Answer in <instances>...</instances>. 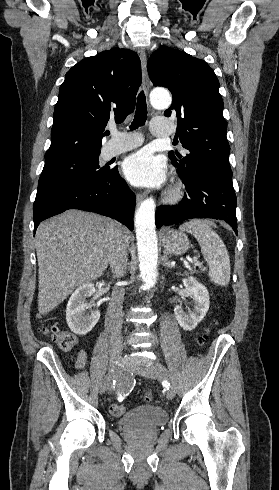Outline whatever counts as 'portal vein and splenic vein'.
<instances>
[{
	"label": "portal vein and splenic vein",
	"mask_w": 279,
	"mask_h": 490,
	"mask_svg": "<svg viewBox=\"0 0 279 490\" xmlns=\"http://www.w3.org/2000/svg\"><path fill=\"white\" fill-rule=\"evenodd\" d=\"M194 266H201L200 262H197V260H193Z\"/></svg>",
	"instance_id": "obj_1"
}]
</instances>
